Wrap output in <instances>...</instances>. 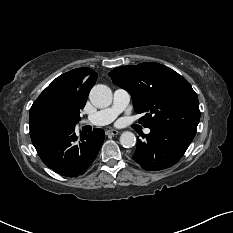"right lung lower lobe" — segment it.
<instances>
[{
  "label": "right lung lower lobe",
  "instance_id": "98d812e1",
  "mask_svg": "<svg viewBox=\"0 0 233 233\" xmlns=\"http://www.w3.org/2000/svg\"><path fill=\"white\" fill-rule=\"evenodd\" d=\"M75 126L65 129L30 126V136L41 160L56 173L66 177L84 174L96 158L105 133L94 129L90 134H75Z\"/></svg>",
  "mask_w": 233,
  "mask_h": 233
}]
</instances>
